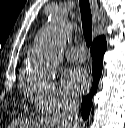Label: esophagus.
Returning a JSON list of instances; mask_svg holds the SVG:
<instances>
[{
  "label": "esophagus",
  "mask_w": 125,
  "mask_h": 128,
  "mask_svg": "<svg viewBox=\"0 0 125 128\" xmlns=\"http://www.w3.org/2000/svg\"><path fill=\"white\" fill-rule=\"evenodd\" d=\"M92 14L94 22L96 23L98 21V7H97V0H90Z\"/></svg>",
  "instance_id": "1"
}]
</instances>
